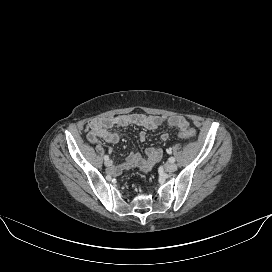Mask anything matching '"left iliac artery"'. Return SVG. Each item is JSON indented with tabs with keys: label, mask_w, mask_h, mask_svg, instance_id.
I'll return each mask as SVG.
<instances>
[{
	"label": "left iliac artery",
	"mask_w": 272,
	"mask_h": 272,
	"mask_svg": "<svg viewBox=\"0 0 272 272\" xmlns=\"http://www.w3.org/2000/svg\"><path fill=\"white\" fill-rule=\"evenodd\" d=\"M172 151H171V149L169 148V149H167V153H171ZM169 162H171V163H174L175 162V158L174 157H170L169 158Z\"/></svg>",
	"instance_id": "left-iliac-artery-1"
}]
</instances>
